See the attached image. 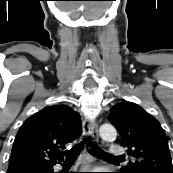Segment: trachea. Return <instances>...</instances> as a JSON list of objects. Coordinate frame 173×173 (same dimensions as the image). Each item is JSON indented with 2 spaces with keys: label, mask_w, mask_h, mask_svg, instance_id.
<instances>
[{
  "label": "trachea",
  "mask_w": 173,
  "mask_h": 173,
  "mask_svg": "<svg viewBox=\"0 0 173 173\" xmlns=\"http://www.w3.org/2000/svg\"><path fill=\"white\" fill-rule=\"evenodd\" d=\"M88 142L92 146V153L97 156H102L106 158H118L115 157L102 149H100L97 145L93 144L90 138H86L83 140L82 144ZM82 144L75 145L71 150H68L65 152L66 154V161H75L78 155L80 154L82 150Z\"/></svg>",
  "instance_id": "trachea-1"
}]
</instances>
